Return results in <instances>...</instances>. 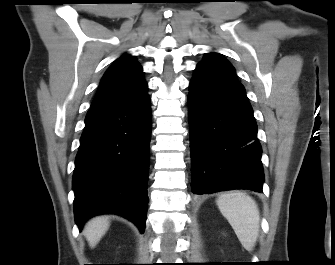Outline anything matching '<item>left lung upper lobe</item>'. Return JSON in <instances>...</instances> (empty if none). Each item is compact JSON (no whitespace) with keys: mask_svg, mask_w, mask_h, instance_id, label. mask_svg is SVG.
Here are the masks:
<instances>
[{"mask_svg":"<svg viewBox=\"0 0 335 265\" xmlns=\"http://www.w3.org/2000/svg\"><path fill=\"white\" fill-rule=\"evenodd\" d=\"M197 66L223 71L232 75L236 74L233 66L219 53H207Z\"/></svg>","mask_w":335,"mask_h":265,"instance_id":"5c2ea615","label":"left lung upper lobe"}]
</instances>
